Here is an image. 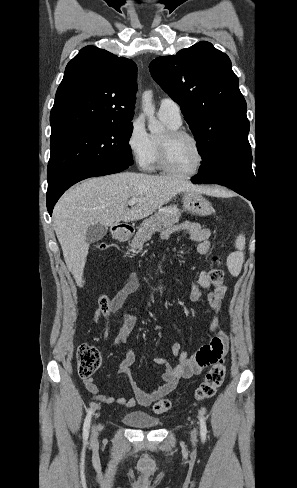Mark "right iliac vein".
<instances>
[{
    "label": "right iliac vein",
    "mask_w": 297,
    "mask_h": 488,
    "mask_svg": "<svg viewBox=\"0 0 297 488\" xmlns=\"http://www.w3.org/2000/svg\"><path fill=\"white\" fill-rule=\"evenodd\" d=\"M99 430H100V426H98L96 424L93 425L92 434H91V443L92 444L96 443Z\"/></svg>",
    "instance_id": "1"
}]
</instances>
